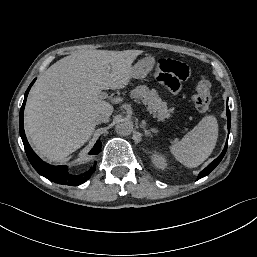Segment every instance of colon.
Masks as SVG:
<instances>
[{"label": "colon", "instance_id": "obj_1", "mask_svg": "<svg viewBox=\"0 0 257 257\" xmlns=\"http://www.w3.org/2000/svg\"><path fill=\"white\" fill-rule=\"evenodd\" d=\"M194 106L200 113L209 110L212 97H211V83L207 77H201L198 81L194 94Z\"/></svg>", "mask_w": 257, "mask_h": 257}]
</instances>
